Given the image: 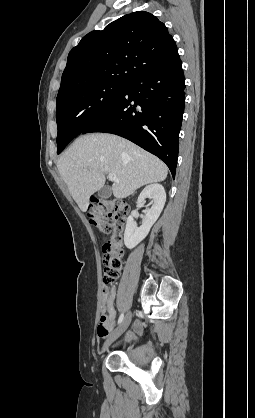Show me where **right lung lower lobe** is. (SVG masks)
<instances>
[{"label": "right lung lower lobe", "instance_id": "98d812e1", "mask_svg": "<svg viewBox=\"0 0 255 418\" xmlns=\"http://www.w3.org/2000/svg\"><path fill=\"white\" fill-rule=\"evenodd\" d=\"M184 105L185 79L177 59L130 81L108 111L81 134L124 137L164 161L174 178Z\"/></svg>", "mask_w": 255, "mask_h": 418}]
</instances>
